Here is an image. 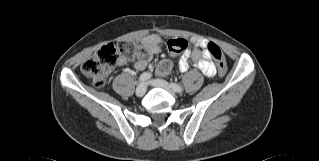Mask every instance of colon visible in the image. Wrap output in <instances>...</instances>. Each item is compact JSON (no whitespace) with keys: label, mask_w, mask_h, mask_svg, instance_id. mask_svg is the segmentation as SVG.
I'll return each mask as SVG.
<instances>
[{"label":"colon","mask_w":319,"mask_h":161,"mask_svg":"<svg viewBox=\"0 0 319 161\" xmlns=\"http://www.w3.org/2000/svg\"><path fill=\"white\" fill-rule=\"evenodd\" d=\"M167 47L171 53L179 54L187 52L188 43L185 40H171L168 42ZM207 50L216 61L219 76H225L227 71L226 60L220 47L213 42H209L207 44ZM136 52L137 49L130 41L110 43L95 53L82 65V74L88 78L95 87L102 88L107 83L108 73L117 64L119 56L130 60L135 56ZM170 68L171 63L167 60L159 63L160 71L168 72Z\"/></svg>","instance_id":"colon-1"}]
</instances>
